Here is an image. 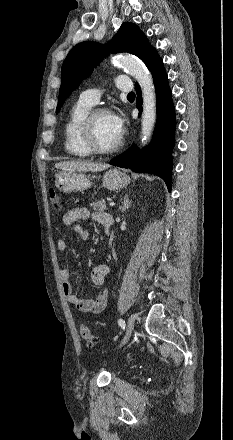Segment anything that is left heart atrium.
I'll return each mask as SVG.
<instances>
[{
	"mask_svg": "<svg viewBox=\"0 0 233 440\" xmlns=\"http://www.w3.org/2000/svg\"><path fill=\"white\" fill-rule=\"evenodd\" d=\"M111 117H112V122H113L114 127L116 128V130L120 134H122V132H123V120H122V118L120 116H118V115H115V114H112Z\"/></svg>",
	"mask_w": 233,
	"mask_h": 440,
	"instance_id": "left-heart-atrium-1",
	"label": "left heart atrium"
}]
</instances>
